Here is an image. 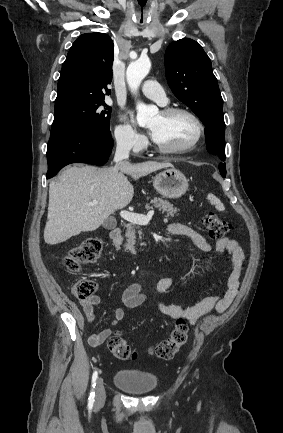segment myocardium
<instances>
[{"label":"myocardium","instance_id":"obj_1","mask_svg":"<svg viewBox=\"0 0 283 433\" xmlns=\"http://www.w3.org/2000/svg\"><path fill=\"white\" fill-rule=\"evenodd\" d=\"M160 113L165 118H169L181 113L190 116L196 123L197 133L194 139L190 143H188L186 146L179 149L165 148L162 147V145L157 142V151L163 156L174 157V156L185 155L191 152L192 150H194L197 147V145L201 142L205 134V125L202 119L194 111L186 107H179V106L166 107L162 109Z\"/></svg>","mask_w":283,"mask_h":433}]
</instances>
